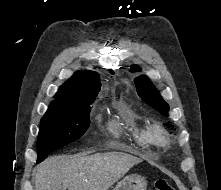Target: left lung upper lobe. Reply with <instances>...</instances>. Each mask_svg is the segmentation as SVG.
<instances>
[{"instance_id": "1", "label": "left lung upper lobe", "mask_w": 221, "mask_h": 190, "mask_svg": "<svg viewBox=\"0 0 221 190\" xmlns=\"http://www.w3.org/2000/svg\"><path fill=\"white\" fill-rule=\"evenodd\" d=\"M140 98L164 116H169V105L163 100L153 83L146 76L134 80ZM170 124V122H169ZM171 126V124H170Z\"/></svg>"}]
</instances>
